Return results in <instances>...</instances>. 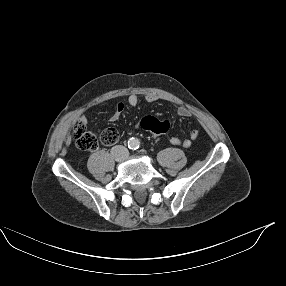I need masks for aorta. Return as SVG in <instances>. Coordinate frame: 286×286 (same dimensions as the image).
Returning <instances> with one entry per match:
<instances>
[{
    "label": "aorta",
    "instance_id": "762f6f07",
    "mask_svg": "<svg viewBox=\"0 0 286 286\" xmlns=\"http://www.w3.org/2000/svg\"><path fill=\"white\" fill-rule=\"evenodd\" d=\"M128 146L132 149H135L139 146V141L136 138H131L128 142Z\"/></svg>",
    "mask_w": 286,
    "mask_h": 286
}]
</instances>
